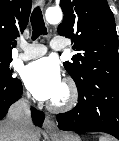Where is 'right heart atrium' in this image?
<instances>
[{
    "label": "right heart atrium",
    "instance_id": "1",
    "mask_svg": "<svg viewBox=\"0 0 119 141\" xmlns=\"http://www.w3.org/2000/svg\"><path fill=\"white\" fill-rule=\"evenodd\" d=\"M23 100H24L25 102H30V95H29L28 93H24V95H23Z\"/></svg>",
    "mask_w": 119,
    "mask_h": 141
}]
</instances>
